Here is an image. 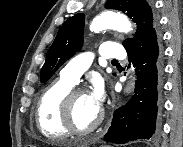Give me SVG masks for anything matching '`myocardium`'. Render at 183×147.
<instances>
[{"instance_id": "f54148a6", "label": "myocardium", "mask_w": 183, "mask_h": 147, "mask_svg": "<svg viewBox=\"0 0 183 147\" xmlns=\"http://www.w3.org/2000/svg\"><path fill=\"white\" fill-rule=\"evenodd\" d=\"M81 94H88L83 88H72L61 103V119L65 128L72 134L86 135L96 130L104 119V110L99 109V114L95 121L87 128L80 129L73 119V106L75 99Z\"/></svg>"}]
</instances>
